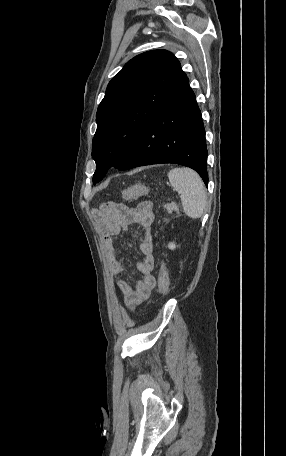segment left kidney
<instances>
[{
    "mask_svg": "<svg viewBox=\"0 0 286 456\" xmlns=\"http://www.w3.org/2000/svg\"><path fill=\"white\" fill-rule=\"evenodd\" d=\"M168 248L171 249V250H174V249L176 248L175 243H174V242H170V243L168 244Z\"/></svg>",
    "mask_w": 286,
    "mask_h": 456,
    "instance_id": "obj_1",
    "label": "left kidney"
}]
</instances>
